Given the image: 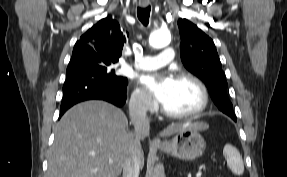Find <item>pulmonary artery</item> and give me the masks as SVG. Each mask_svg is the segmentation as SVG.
Listing matches in <instances>:
<instances>
[{"label": "pulmonary artery", "mask_w": 287, "mask_h": 177, "mask_svg": "<svg viewBox=\"0 0 287 177\" xmlns=\"http://www.w3.org/2000/svg\"><path fill=\"white\" fill-rule=\"evenodd\" d=\"M174 58V49L165 47L162 52L155 56L146 55L138 63L137 67L142 70H152L163 67L171 62Z\"/></svg>", "instance_id": "e3ab8cb5"}]
</instances>
